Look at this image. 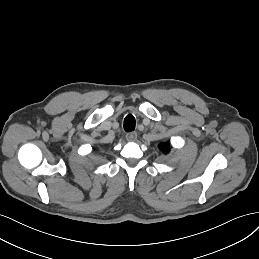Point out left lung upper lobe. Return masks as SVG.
Segmentation results:
<instances>
[{"label":"left lung upper lobe","mask_w":259,"mask_h":259,"mask_svg":"<svg viewBox=\"0 0 259 259\" xmlns=\"http://www.w3.org/2000/svg\"><path fill=\"white\" fill-rule=\"evenodd\" d=\"M159 149H160L163 153L167 154V153L170 151V144H169V143H161V144L159 145Z\"/></svg>","instance_id":"1"}]
</instances>
